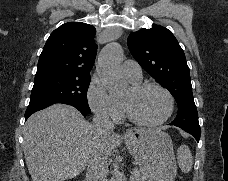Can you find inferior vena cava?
Instances as JSON below:
<instances>
[{"label":"inferior vena cava","mask_w":228,"mask_h":181,"mask_svg":"<svg viewBox=\"0 0 228 181\" xmlns=\"http://www.w3.org/2000/svg\"><path fill=\"white\" fill-rule=\"evenodd\" d=\"M114 123H111L109 115L103 111H94V117L91 125V135L97 139H107L114 131ZM106 151L101 147H94L91 151V157L87 161L86 181H108V161Z\"/></svg>","instance_id":"obj_1"}]
</instances>
